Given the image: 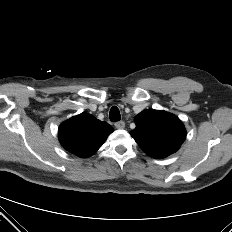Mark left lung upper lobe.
I'll return each instance as SVG.
<instances>
[{
  "label": "left lung upper lobe",
  "mask_w": 232,
  "mask_h": 232,
  "mask_svg": "<svg viewBox=\"0 0 232 232\" xmlns=\"http://www.w3.org/2000/svg\"><path fill=\"white\" fill-rule=\"evenodd\" d=\"M135 124L131 136L153 158H165L176 152L186 138L181 120L163 110H144L136 116Z\"/></svg>",
  "instance_id": "1"
}]
</instances>
